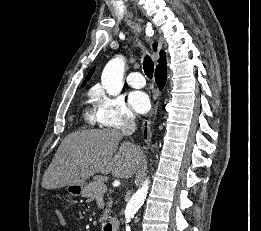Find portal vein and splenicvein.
Returning <instances> with one entry per match:
<instances>
[{
	"label": "portal vein and splenic vein",
	"instance_id": "1",
	"mask_svg": "<svg viewBox=\"0 0 261 231\" xmlns=\"http://www.w3.org/2000/svg\"><path fill=\"white\" fill-rule=\"evenodd\" d=\"M101 190H102V192L107 191V186L105 185V186L101 187Z\"/></svg>",
	"mask_w": 261,
	"mask_h": 231
}]
</instances>
